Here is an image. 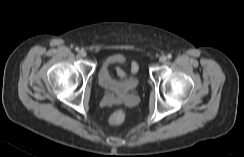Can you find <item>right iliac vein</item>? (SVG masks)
I'll use <instances>...</instances> for the list:
<instances>
[{
    "instance_id": "1",
    "label": "right iliac vein",
    "mask_w": 244,
    "mask_h": 157,
    "mask_svg": "<svg viewBox=\"0 0 244 157\" xmlns=\"http://www.w3.org/2000/svg\"><path fill=\"white\" fill-rule=\"evenodd\" d=\"M79 55L81 57H85L87 54H86V51L82 49V50L79 51Z\"/></svg>"
}]
</instances>
